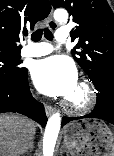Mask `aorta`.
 I'll return each instance as SVG.
<instances>
[{
    "mask_svg": "<svg viewBox=\"0 0 114 156\" xmlns=\"http://www.w3.org/2000/svg\"><path fill=\"white\" fill-rule=\"evenodd\" d=\"M54 18L58 22H66L68 20V13L65 9H56L54 12ZM60 126L61 116L57 112L51 115L45 128L43 138V156H53Z\"/></svg>",
    "mask_w": 114,
    "mask_h": 156,
    "instance_id": "1",
    "label": "aorta"
}]
</instances>
